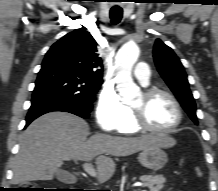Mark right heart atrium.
<instances>
[{
    "label": "right heart atrium",
    "instance_id": "d8ad5b80",
    "mask_svg": "<svg viewBox=\"0 0 218 191\" xmlns=\"http://www.w3.org/2000/svg\"><path fill=\"white\" fill-rule=\"evenodd\" d=\"M128 113L129 107L115 90L105 88L101 91L95 106V119L100 129L106 132L118 130L128 118Z\"/></svg>",
    "mask_w": 218,
    "mask_h": 191
}]
</instances>
